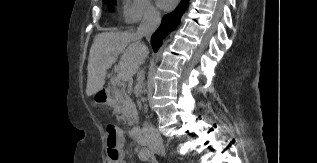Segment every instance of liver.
<instances>
[{
    "mask_svg": "<svg viewBox=\"0 0 317 163\" xmlns=\"http://www.w3.org/2000/svg\"><path fill=\"white\" fill-rule=\"evenodd\" d=\"M134 32H102L96 35L88 58L87 96L103 88L107 70L122 54L118 67L122 81L131 79L148 55V48Z\"/></svg>",
    "mask_w": 317,
    "mask_h": 163,
    "instance_id": "obj_1",
    "label": "liver"
}]
</instances>
